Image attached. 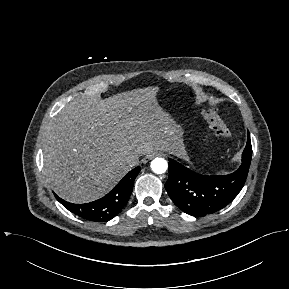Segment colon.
Masks as SVG:
<instances>
[{
    "instance_id": "1",
    "label": "colon",
    "mask_w": 289,
    "mask_h": 289,
    "mask_svg": "<svg viewBox=\"0 0 289 289\" xmlns=\"http://www.w3.org/2000/svg\"><path fill=\"white\" fill-rule=\"evenodd\" d=\"M206 118L209 123L211 130L215 133V135L220 137H228L231 132L220 118L219 114L215 109H210L206 113Z\"/></svg>"
}]
</instances>
